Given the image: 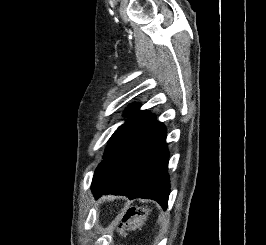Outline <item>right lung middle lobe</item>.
Returning <instances> with one entry per match:
<instances>
[{"label": "right lung middle lobe", "mask_w": 266, "mask_h": 245, "mask_svg": "<svg viewBox=\"0 0 266 245\" xmlns=\"http://www.w3.org/2000/svg\"><path fill=\"white\" fill-rule=\"evenodd\" d=\"M148 122L144 121H126L124 125L118 128L108 142V147L105 151L104 158L116 150L129 137L140 130Z\"/></svg>", "instance_id": "dd1d6c3e"}]
</instances>
